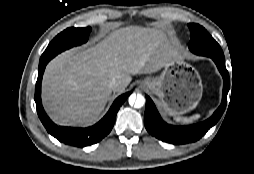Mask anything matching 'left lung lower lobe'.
<instances>
[{
    "label": "left lung lower lobe",
    "instance_id": "1",
    "mask_svg": "<svg viewBox=\"0 0 254 174\" xmlns=\"http://www.w3.org/2000/svg\"><path fill=\"white\" fill-rule=\"evenodd\" d=\"M220 71L223 80V98L219 108L212 117L202 123L190 126H172L165 123L160 117L153 101L146 96V108L144 114V124L147 131L154 137L163 142L180 145L199 140L222 116L227 102V94L230 88L229 74L225 67V59L222 57L211 56Z\"/></svg>",
    "mask_w": 254,
    "mask_h": 174
}]
</instances>
